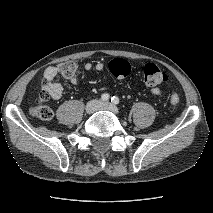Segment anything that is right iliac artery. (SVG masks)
Wrapping results in <instances>:
<instances>
[{"label": "right iliac artery", "mask_w": 213, "mask_h": 213, "mask_svg": "<svg viewBox=\"0 0 213 213\" xmlns=\"http://www.w3.org/2000/svg\"><path fill=\"white\" fill-rule=\"evenodd\" d=\"M102 101H108L109 100V95L107 93H104L101 95Z\"/></svg>", "instance_id": "82829eb1"}]
</instances>
